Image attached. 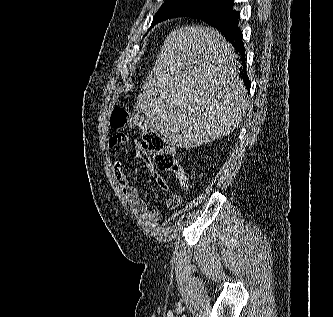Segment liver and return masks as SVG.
Masks as SVG:
<instances>
[{
	"label": "liver",
	"mask_w": 333,
	"mask_h": 317,
	"mask_svg": "<svg viewBox=\"0 0 333 317\" xmlns=\"http://www.w3.org/2000/svg\"><path fill=\"white\" fill-rule=\"evenodd\" d=\"M236 57L214 29L172 31L137 97V110L176 147H198L229 135L249 107Z\"/></svg>",
	"instance_id": "obj_1"
}]
</instances>
